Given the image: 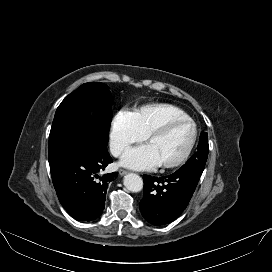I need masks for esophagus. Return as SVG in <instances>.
I'll return each mask as SVG.
<instances>
[{"label":"esophagus","mask_w":272,"mask_h":272,"mask_svg":"<svg viewBox=\"0 0 272 272\" xmlns=\"http://www.w3.org/2000/svg\"><path fill=\"white\" fill-rule=\"evenodd\" d=\"M127 173H128L127 170H124V169H120V170H119V174H120L121 176L126 175Z\"/></svg>","instance_id":"1"}]
</instances>
